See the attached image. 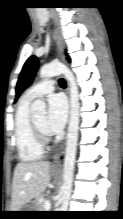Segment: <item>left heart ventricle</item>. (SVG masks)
Wrapping results in <instances>:
<instances>
[{"label":"left heart ventricle","instance_id":"1","mask_svg":"<svg viewBox=\"0 0 123 219\" xmlns=\"http://www.w3.org/2000/svg\"><path fill=\"white\" fill-rule=\"evenodd\" d=\"M35 121L36 123L44 130L47 131V128H46V115L45 114H41L37 117H35Z\"/></svg>","mask_w":123,"mask_h":219}]
</instances>
